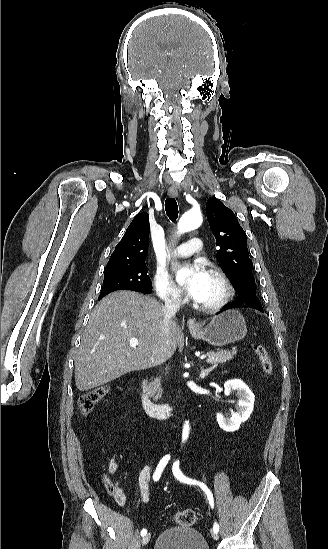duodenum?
Returning a JSON list of instances; mask_svg holds the SVG:
<instances>
[{"label":"duodenum","mask_w":328,"mask_h":549,"mask_svg":"<svg viewBox=\"0 0 328 549\" xmlns=\"http://www.w3.org/2000/svg\"><path fill=\"white\" fill-rule=\"evenodd\" d=\"M139 398L142 408L154 417H169L178 412L180 404H161L150 399L147 393V382L142 379L139 385Z\"/></svg>","instance_id":"410a0bca"}]
</instances>
